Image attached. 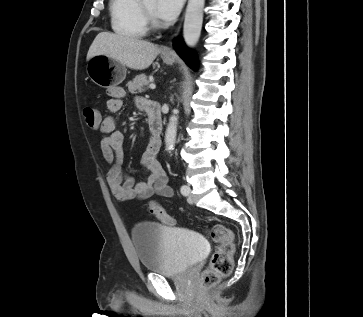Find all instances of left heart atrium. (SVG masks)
I'll use <instances>...</instances> for the list:
<instances>
[{"label":"left heart atrium","instance_id":"1","mask_svg":"<svg viewBox=\"0 0 363 317\" xmlns=\"http://www.w3.org/2000/svg\"><path fill=\"white\" fill-rule=\"evenodd\" d=\"M184 0H156V15L163 22L173 21L179 14Z\"/></svg>","mask_w":363,"mask_h":317}]
</instances>
